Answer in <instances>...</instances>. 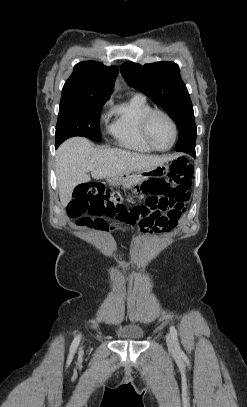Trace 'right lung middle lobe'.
Here are the masks:
<instances>
[{"label": "right lung middle lobe", "instance_id": "1", "mask_svg": "<svg viewBox=\"0 0 247 407\" xmlns=\"http://www.w3.org/2000/svg\"><path fill=\"white\" fill-rule=\"evenodd\" d=\"M106 101L60 102L56 125V148L72 136H83L100 142L102 140L100 114Z\"/></svg>", "mask_w": 247, "mask_h": 407}]
</instances>
